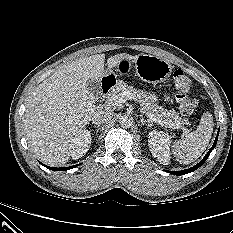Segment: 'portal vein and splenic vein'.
<instances>
[{"instance_id":"obj_1","label":"portal vein and splenic vein","mask_w":233,"mask_h":233,"mask_svg":"<svg viewBox=\"0 0 233 233\" xmlns=\"http://www.w3.org/2000/svg\"><path fill=\"white\" fill-rule=\"evenodd\" d=\"M127 99H128V100H132V99H134V97H133L129 92H124V93L121 94V95H113V96L110 98L109 102H110L112 105H114V106H119V105L125 103ZM149 118H150L151 121H153V122H156V123H158V124H160V125H162V126L164 125V123H163L162 121L157 120V119L154 118L152 115H151ZM169 127L174 128V129H179V128H180L178 125H170ZM182 130H183V132H184L185 134L189 133V130L186 129V128H182Z\"/></svg>"}]
</instances>
